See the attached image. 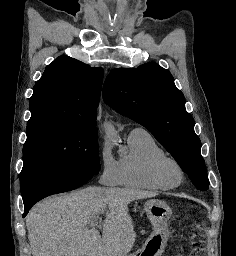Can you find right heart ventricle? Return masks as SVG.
Returning <instances> with one entry per match:
<instances>
[{
  "label": "right heart ventricle",
  "mask_w": 236,
  "mask_h": 256,
  "mask_svg": "<svg viewBox=\"0 0 236 256\" xmlns=\"http://www.w3.org/2000/svg\"><path fill=\"white\" fill-rule=\"evenodd\" d=\"M130 151L120 160L122 185L135 189H167L156 182L151 174L153 162L166 156V152L157 144L153 136L143 129L129 134Z\"/></svg>",
  "instance_id": "right-heart-ventricle-1"
}]
</instances>
